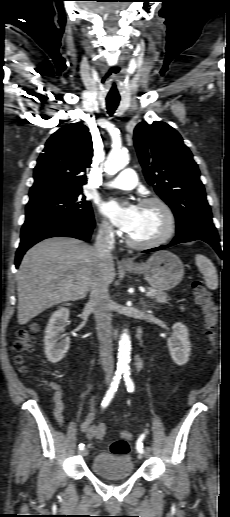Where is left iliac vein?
<instances>
[{
    "label": "left iliac vein",
    "mask_w": 230,
    "mask_h": 517,
    "mask_svg": "<svg viewBox=\"0 0 230 517\" xmlns=\"http://www.w3.org/2000/svg\"><path fill=\"white\" fill-rule=\"evenodd\" d=\"M149 453H150V448L147 447L146 450L144 451V454H140L139 456L140 457H143V456L147 457L149 455Z\"/></svg>",
    "instance_id": "4c4485c4"
}]
</instances>
